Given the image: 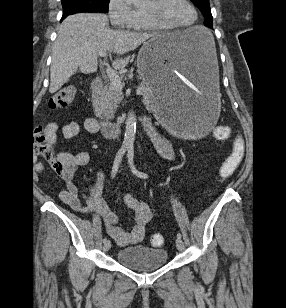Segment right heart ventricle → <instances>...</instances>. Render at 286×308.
I'll use <instances>...</instances> for the list:
<instances>
[{"instance_id":"obj_1","label":"right heart ventricle","mask_w":286,"mask_h":308,"mask_svg":"<svg viewBox=\"0 0 286 308\" xmlns=\"http://www.w3.org/2000/svg\"><path fill=\"white\" fill-rule=\"evenodd\" d=\"M133 29L137 31H165V30H168V29L161 28V27L154 25L152 22H150L147 19L145 14H142V13L140 15L138 24Z\"/></svg>"}]
</instances>
